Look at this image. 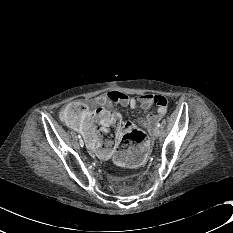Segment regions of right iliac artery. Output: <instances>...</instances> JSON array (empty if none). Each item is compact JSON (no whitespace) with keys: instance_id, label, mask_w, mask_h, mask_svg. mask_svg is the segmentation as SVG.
<instances>
[{"instance_id":"82829eb1","label":"right iliac artery","mask_w":233,"mask_h":233,"mask_svg":"<svg viewBox=\"0 0 233 233\" xmlns=\"http://www.w3.org/2000/svg\"><path fill=\"white\" fill-rule=\"evenodd\" d=\"M78 138H79V139H81V136H80V135H78ZM81 146L83 147V145H81Z\"/></svg>"}]
</instances>
